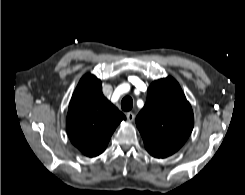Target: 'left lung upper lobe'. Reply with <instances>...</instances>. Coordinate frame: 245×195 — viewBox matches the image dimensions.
Listing matches in <instances>:
<instances>
[{"instance_id": "obj_1", "label": "left lung upper lobe", "mask_w": 245, "mask_h": 195, "mask_svg": "<svg viewBox=\"0 0 245 195\" xmlns=\"http://www.w3.org/2000/svg\"><path fill=\"white\" fill-rule=\"evenodd\" d=\"M194 116L180 85L172 77L148 88L136 125L149 153L167 157L178 151L192 132Z\"/></svg>"}]
</instances>
